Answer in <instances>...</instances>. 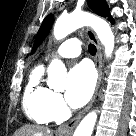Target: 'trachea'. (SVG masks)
I'll return each instance as SVG.
<instances>
[{"instance_id":"obj_1","label":"trachea","mask_w":136,"mask_h":136,"mask_svg":"<svg viewBox=\"0 0 136 136\" xmlns=\"http://www.w3.org/2000/svg\"><path fill=\"white\" fill-rule=\"evenodd\" d=\"M88 50L90 54L95 55L96 54V47L92 44L89 45Z\"/></svg>"}]
</instances>
